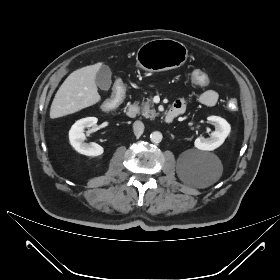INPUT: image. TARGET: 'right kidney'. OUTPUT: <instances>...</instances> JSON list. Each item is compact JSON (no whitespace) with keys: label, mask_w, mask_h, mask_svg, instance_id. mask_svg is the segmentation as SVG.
Here are the masks:
<instances>
[{"label":"right kidney","mask_w":280,"mask_h":280,"mask_svg":"<svg viewBox=\"0 0 280 280\" xmlns=\"http://www.w3.org/2000/svg\"><path fill=\"white\" fill-rule=\"evenodd\" d=\"M98 119L96 117H87L80 119L75 122V124L71 127L69 131V140L70 144L74 147V149L86 156H100L103 154L104 149L102 146L91 142H85V134L84 129L90 128L97 123Z\"/></svg>","instance_id":"obj_1"}]
</instances>
